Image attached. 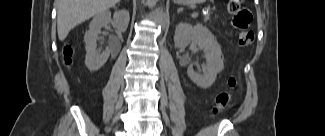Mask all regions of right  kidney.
<instances>
[{
  "instance_id": "ca27d5eb",
  "label": "right kidney",
  "mask_w": 325,
  "mask_h": 136,
  "mask_svg": "<svg viewBox=\"0 0 325 136\" xmlns=\"http://www.w3.org/2000/svg\"><path fill=\"white\" fill-rule=\"evenodd\" d=\"M129 12L126 10L116 11L113 15V24L117 33L124 32L129 24ZM111 22V12L104 11L97 14L89 25V30L84 35L86 57L85 64L90 71L99 70L107 61L110 49H97V40L102 27H107Z\"/></svg>"
}]
</instances>
